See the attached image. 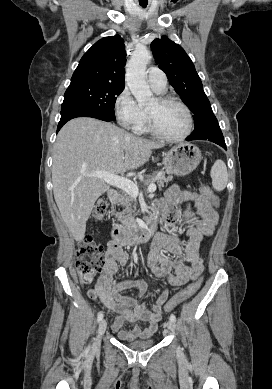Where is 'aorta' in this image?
<instances>
[{"instance_id":"1","label":"aorta","mask_w":272,"mask_h":389,"mask_svg":"<svg viewBox=\"0 0 272 389\" xmlns=\"http://www.w3.org/2000/svg\"><path fill=\"white\" fill-rule=\"evenodd\" d=\"M151 54L146 47H137L126 66V82L140 106L155 102V97L145 80L146 66Z\"/></svg>"}]
</instances>
